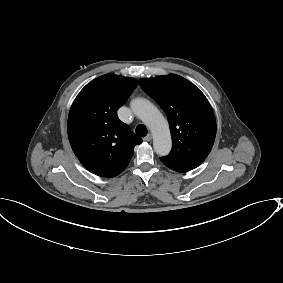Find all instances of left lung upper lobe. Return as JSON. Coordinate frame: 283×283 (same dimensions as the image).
I'll list each match as a JSON object with an SVG mask.
<instances>
[{
  "label": "left lung upper lobe",
  "instance_id": "obj_1",
  "mask_svg": "<svg viewBox=\"0 0 283 283\" xmlns=\"http://www.w3.org/2000/svg\"><path fill=\"white\" fill-rule=\"evenodd\" d=\"M139 82L168 116L173 147L163 158L186 168L198 167L210 153L216 135L215 116L205 95L175 74Z\"/></svg>",
  "mask_w": 283,
  "mask_h": 283
}]
</instances>
